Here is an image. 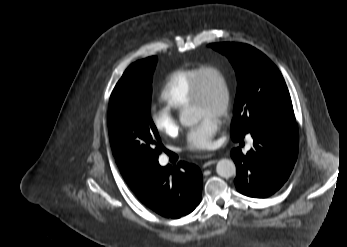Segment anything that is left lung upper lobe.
Here are the masks:
<instances>
[{"mask_svg": "<svg viewBox=\"0 0 347 247\" xmlns=\"http://www.w3.org/2000/svg\"><path fill=\"white\" fill-rule=\"evenodd\" d=\"M209 46L226 55L236 72L238 84L231 137H244L270 123L296 124L286 83L270 59L247 44Z\"/></svg>", "mask_w": 347, "mask_h": 247, "instance_id": "obj_1", "label": "left lung upper lobe"}]
</instances>
